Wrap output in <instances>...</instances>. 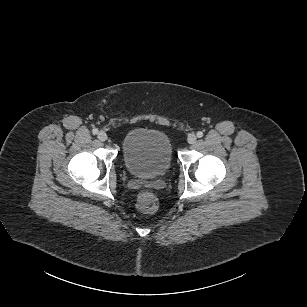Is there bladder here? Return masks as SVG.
Listing matches in <instances>:
<instances>
[{"label":"bladder","instance_id":"1","mask_svg":"<svg viewBox=\"0 0 307 307\" xmlns=\"http://www.w3.org/2000/svg\"><path fill=\"white\" fill-rule=\"evenodd\" d=\"M172 154L168 135L155 129H133L122 142L125 167L139 178L152 179L164 175L170 168Z\"/></svg>","mask_w":307,"mask_h":307}]
</instances>
